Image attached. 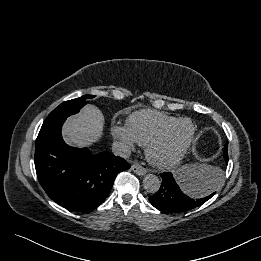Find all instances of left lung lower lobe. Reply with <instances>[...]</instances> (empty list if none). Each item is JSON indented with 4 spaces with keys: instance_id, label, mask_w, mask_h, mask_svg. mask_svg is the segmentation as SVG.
I'll return each instance as SVG.
<instances>
[{
    "instance_id": "obj_1",
    "label": "left lung lower lobe",
    "mask_w": 261,
    "mask_h": 261,
    "mask_svg": "<svg viewBox=\"0 0 261 261\" xmlns=\"http://www.w3.org/2000/svg\"><path fill=\"white\" fill-rule=\"evenodd\" d=\"M227 150L224 149V159L228 161ZM162 185L154 196L149 198L151 204L158 210L166 213H181L191 210L208 201L215 193L200 196L199 193L205 188L214 186L217 176L206 177L198 180L194 177H180L170 172L160 174ZM194 194V195H193Z\"/></svg>"
}]
</instances>
